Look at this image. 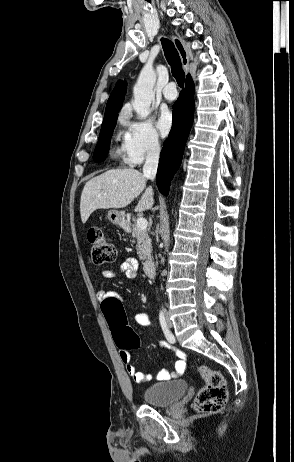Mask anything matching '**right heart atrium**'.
<instances>
[{"label":"right heart atrium","mask_w":294,"mask_h":462,"mask_svg":"<svg viewBox=\"0 0 294 462\" xmlns=\"http://www.w3.org/2000/svg\"><path fill=\"white\" fill-rule=\"evenodd\" d=\"M123 122L126 131L122 141V151L129 165H139L145 159L159 154L162 147L161 140L149 121L135 120L129 114H125Z\"/></svg>","instance_id":"1"}]
</instances>
